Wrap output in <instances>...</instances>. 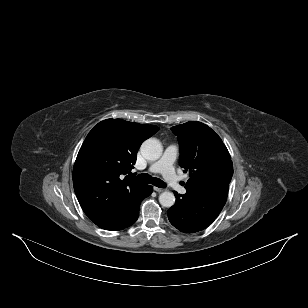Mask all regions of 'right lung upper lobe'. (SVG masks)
<instances>
[{"label": "right lung upper lobe", "mask_w": 308, "mask_h": 308, "mask_svg": "<svg viewBox=\"0 0 308 308\" xmlns=\"http://www.w3.org/2000/svg\"><path fill=\"white\" fill-rule=\"evenodd\" d=\"M159 128L122 119L98 123L87 135L73 168V185L85 214L98 226L116 224L143 190L131 174L142 142Z\"/></svg>", "instance_id": "obj_1"}]
</instances>
